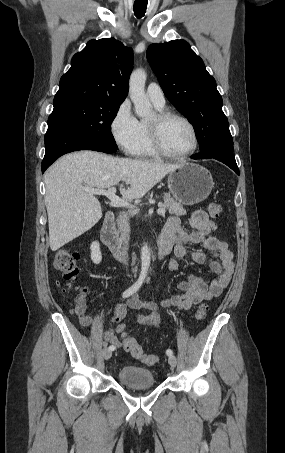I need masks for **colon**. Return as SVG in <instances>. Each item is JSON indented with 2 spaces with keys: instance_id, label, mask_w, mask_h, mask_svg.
Returning a JSON list of instances; mask_svg holds the SVG:
<instances>
[{
  "instance_id": "obj_1",
  "label": "colon",
  "mask_w": 285,
  "mask_h": 453,
  "mask_svg": "<svg viewBox=\"0 0 285 453\" xmlns=\"http://www.w3.org/2000/svg\"><path fill=\"white\" fill-rule=\"evenodd\" d=\"M207 210L212 217H218L222 211V207L218 203L209 202L207 204ZM53 265L58 271L64 274V278L68 282L76 280L79 276V255L73 251L68 249L58 250L54 256ZM83 298L84 295L80 294L77 297V300ZM207 313L208 306L206 304H201L195 312V319L197 321H202L206 318ZM122 337L125 351L130 353L134 358L141 360L144 364L149 366L155 365L158 362V356L145 353L134 337L126 333H124Z\"/></svg>"
}]
</instances>
